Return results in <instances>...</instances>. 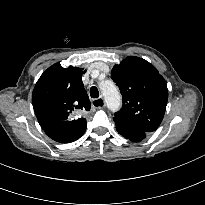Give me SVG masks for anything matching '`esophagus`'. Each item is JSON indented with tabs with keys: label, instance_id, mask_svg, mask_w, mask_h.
<instances>
[{
	"label": "esophagus",
	"instance_id": "obj_1",
	"mask_svg": "<svg viewBox=\"0 0 205 205\" xmlns=\"http://www.w3.org/2000/svg\"><path fill=\"white\" fill-rule=\"evenodd\" d=\"M92 106L95 108H103L105 106V101L102 97L94 99L92 101Z\"/></svg>",
	"mask_w": 205,
	"mask_h": 205
}]
</instances>
